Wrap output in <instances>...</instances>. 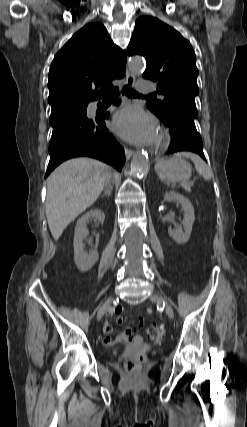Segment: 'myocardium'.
<instances>
[{
	"mask_svg": "<svg viewBox=\"0 0 247 427\" xmlns=\"http://www.w3.org/2000/svg\"><path fill=\"white\" fill-rule=\"evenodd\" d=\"M169 142V135L166 131L160 130L157 140H156V147L157 148H163L166 146Z\"/></svg>",
	"mask_w": 247,
	"mask_h": 427,
	"instance_id": "1",
	"label": "myocardium"
}]
</instances>
